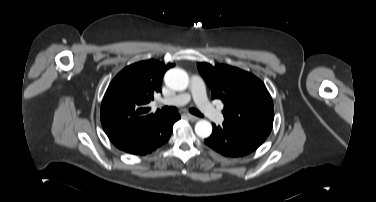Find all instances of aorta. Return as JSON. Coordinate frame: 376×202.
<instances>
[{
	"label": "aorta",
	"instance_id": "762f6f07",
	"mask_svg": "<svg viewBox=\"0 0 376 202\" xmlns=\"http://www.w3.org/2000/svg\"><path fill=\"white\" fill-rule=\"evenodd\" d=\"M166 85L176 91H184L189 85L188 74L180 68H173L166 72L164 77ZM195 133L200 138H207L212 133V125L207 120H199L195 124Z\"/></svg>",
	"mask_w": 376,
	"mask_h": 202
}]
</instances>
